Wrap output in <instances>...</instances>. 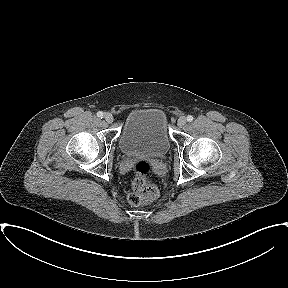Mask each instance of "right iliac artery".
Masks as SVG:
<instances>
[{"instance_id":"right-iliac-artery-1","label":"right iliac artery","mask_w":288,"mask_h":288,"mask_svg":"<svg viewBox=\"0 0 288 288\" xmlns=\"http://www.w3.org/2000/svg\"><path fill=\"white\" fill-rule=\"evenodd\" d=\"M97 116H98L99 118H103L104 113H103L102 111H99V112L97 113Z\"/></svg>"}]
</instances>
